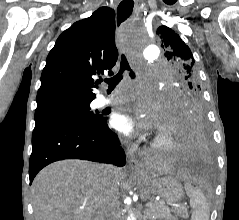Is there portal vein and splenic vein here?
Segmentation results:
<instances>
[{"mask_svg":"<svg viewBox=\"0 0 239 220\" xmlns=\"http://www.w3.org/2000/svg\"><path fill=\"white\" fill-rule=\"evenodd\" d=\"M150 205H151V203H146V204H145L146 207H148V206H150Z\"/></svg>","mask_w":239,"mask_h":220,"instance_id":"obj_1","label":"portal vein and splenic vein"}]
</instances>
